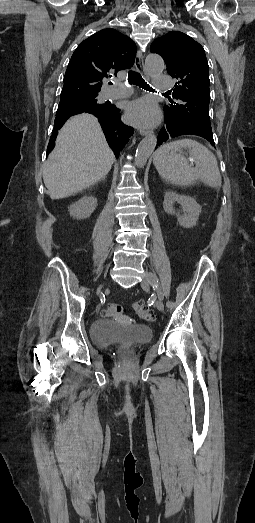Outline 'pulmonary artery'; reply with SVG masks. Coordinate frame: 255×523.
Here are the masks:
<instances>
[{"label":"pulmonary artery","mask_w":255,"mask_h":523,"mask_svg":"<svg viewBox=\"0 0 255 523\" xmlns=\"http://www.w3.org/2000/svg\"><path fill=\"white\" fill-rule=\"evenodd\" d=\"M154 80L156 83L155 88L160 92H171L175 88L173 79L170 78L167 74L158 73L155 75ZM131 91V86L122 84L119 81L114 80L113 85L106 90V97L110 100L122 98L128 95Z\"/></svg>","instance_id":"pulmonary-artery-1"}]
</instances>
